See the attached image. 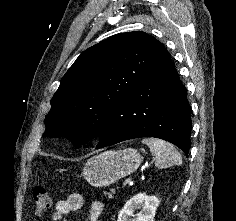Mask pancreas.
Returning <instances> with one entry per match:
<instances>
[{"label": "pancreas", "mask_w": 236, "mask_h": 221, "mask_svg": "<svg viewBox=\"0 0 236 221\" xmlns=\"http://www.w3.org/2000/svg\"><path fill=\"white\" fill-rule=\"evenodd\" d=\"M108 195V199L113 198L114 191L106 193Z\"/></svg>", "instance_id": "obj_1"}]
</instances>
